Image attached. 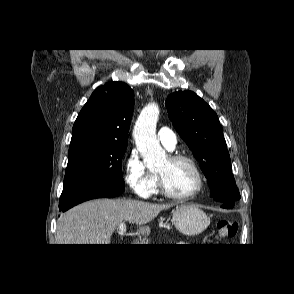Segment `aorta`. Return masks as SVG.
Segmentation results:
<instances>
[{
	"mask_svg": "<svg viewBox=\"0 0 294 294\" xmlns=\"http://www.w3.org/2000/svg\"><path fill=\"white\" fill-rule=\"evenodd\" d=\"M158 117V105L148 104L141 111L133 131L137 148L149 169L162 166L166 160V152L156 137Z\"/></svg>",
	"mask_w": 294,
	"mask_h": 294,
	"instance_id": "obj_1",
	"label": "aorta"
}]
</instances>
